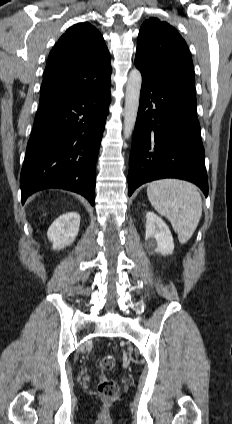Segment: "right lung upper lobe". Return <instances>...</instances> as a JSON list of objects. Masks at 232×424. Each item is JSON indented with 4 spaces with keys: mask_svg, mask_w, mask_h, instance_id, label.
Masks as SVG:
<instances>
[{
    "mask_svg": "<svg viewBox=\"0 0 232 424\" xmlns=\"http://www.w3.org/2000/svg\"><path fill=\"white\" fill-rule=\"evenodd\" d=\"M111 61L100 32L90 23L70 27L49 54L40 102L85 94L110 84Z\"/></svg>",
    "mask_w": 232,
    "mask_h": 424,
    "instance_id": "1",
    "label": "right lung upper lobe"
}]
</instances>
